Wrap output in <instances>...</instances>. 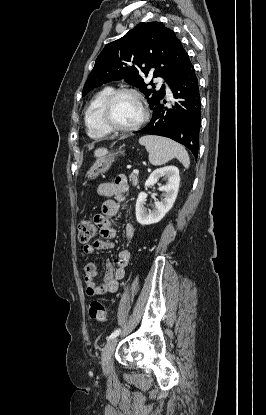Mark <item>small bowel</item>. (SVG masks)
Listing matches in <instances>:
<instances>
[{
  "label": "small bowel",
  "mask_w": 266,
  "mask_h": 415,
  "mask_svg": "<svg viewBox=\"0 0 266 415\" xmlns=\"http://www.w3.org/2000/svg\"><path fill=\"white\" fill-rule=\"evenodd\" d=\"M129 191V183L125 175H118L109 182L102 183L97 188V194L103 197H112L106 200L102 205V213L94 216V223L100 231L101 239L96 240L93 244H86L83 247L85 254H92L95 250L113 249L114 244L111 241L117 235L113 218L120 211V203L126 200ZM127 239L134 235V228L127 223L125 226ZM130 253L127 249L119 252L117 258V267H114L111 261L105 263V275L103 282L99 285L95 282L97 276V266L94 262H88L84 266V282L86 293L90 297L103 296L108 293H114L118 290L119 281L125 276V268L129 264Z\"/></svg>",
  "instance_id": "c3829d8e"
}]
</instances>
